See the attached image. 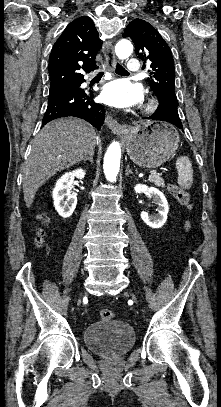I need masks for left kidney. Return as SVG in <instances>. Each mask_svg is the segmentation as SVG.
Instances as JSON below:
<instances>
[{
    "mask_svg": "<svg viewBox=\"0 0 221 407\" xmlns=\"http://www.w3.org/2000/svg\"><path fill=\"white\" fill-rule=\"evenodd\" d=\"M134 190L137 194L144 193L153 197L154 201L158 204L159 208L157 209V215L150 216L147 212H142L141 218L144 223L151 228H161L167 220V214L169 211L168 202L164 194L155 187H148L143 184H137L134 187Z\"/></svg>",
    "mask_w": 221,
    "mask_h": 407,
    "instance_id": "1",
    "label": "left kidney"
}]
</instances>
